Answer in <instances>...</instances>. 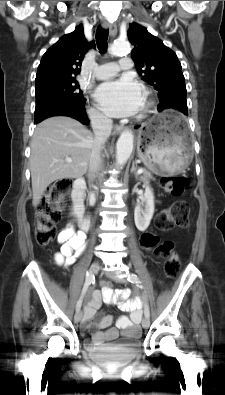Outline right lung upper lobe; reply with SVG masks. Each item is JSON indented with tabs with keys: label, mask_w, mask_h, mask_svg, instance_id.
<instances>
[{
	"label": "right lung upper lobe",
	"mask_w": 225,
	"mask_h": 395,
	"mask_svg": "<svg viewBox=\"0 0 225 395\" xmlns=\"http://www.w3.org/2000/svg\"><path fill=\"white\" fill-rule=\"evenodd\" d=\"M94 42H87L83 25L61 37L43 55L36 75V85L51 81L75 79L80 73L81 62L86 52L94 48Z\"/></svg>",
	"instance_id": "obj_1"
}]
</instances>
